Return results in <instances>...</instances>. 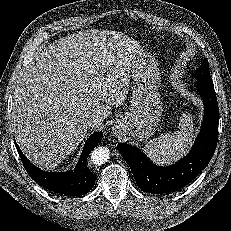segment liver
<instances>
[{"instance_id":"1","label":"liver","mask_w":231,"mask_h":231,"mask_svg":"<svg viewBox=\"0 0 231 231\" xmlns=\"http://www.w3.org/2000/svg\"><path fill=\"white\" fill-rule=\"evenodd\" d=\"M142 52L123 33L91 29L55 40L36 55L18 79L11 113L27 158L48 169L74 152L86 136V120L103 122L125 101L132 61Z\"/></svg>"}]
</instances>
